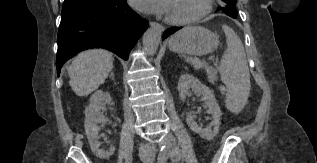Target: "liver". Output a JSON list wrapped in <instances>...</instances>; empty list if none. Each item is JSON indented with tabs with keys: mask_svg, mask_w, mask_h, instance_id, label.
Instances as JSON below:
<instances>
[{
	"mask_svg": "<svg viewBox=\"0 0 317 163\" xmlns=\"http://www.w3.org/2000/svg\"><path fill=\"white\" fill-rule=\"evenodd\" d=\"M112 53L92 49L79 53L68 68L69 85L77 96H88L104 83L113 69Z\"/></svg>",
	"mask_w": 317,
	"mask_h": 163,
	"instance_id": "liver-1",
	"label": "liver"
}]
</instances>
